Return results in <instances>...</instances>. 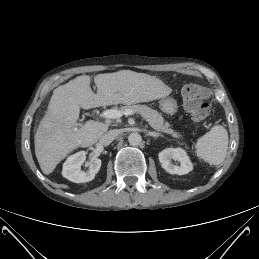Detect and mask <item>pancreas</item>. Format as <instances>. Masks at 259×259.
Wrapping results in <instances>:
<instances>
[{
    "mask_svg": "<svg viewBox=\"0 0 259 259\" xmlns=\"http://www.w3.org/2000/svg\"><path fill=\"white\" fill-rule=\"evenodd\" d=\"M132 110L136 113H139L148 123L149 125L158 132H163L166 134H170L174 138H181L180 133L175 132L170 128V124L165 122L162 115L148 107L147 105H127L121 107V111Z\"/></svg>",
    "mask_w": 259,
    "mask_h": 259,
    "instance_id": "1",
    "label": "pancreas"
}]
</instances>
